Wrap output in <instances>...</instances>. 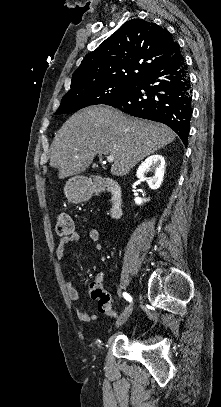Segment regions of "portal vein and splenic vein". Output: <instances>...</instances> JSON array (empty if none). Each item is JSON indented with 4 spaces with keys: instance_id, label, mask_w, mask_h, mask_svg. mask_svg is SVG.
I'll use <instances>...</instances> for the list:
<instances>
[{
    "instance_id": "1",
    "label": "portal vein and splenic vein",
    "mask_w": 221,
    "mask_h": 407,
    "mask_svg": "<svg viewBox=\"0 0 221 407\" xmlns=\"http://www.w3.org/2000/svg\"><path fill=\"white\" fill-rule=\"evenodd\" d=\"M107 161H108V162H113V161H114V157L111 156V155L107 156Z\"/></svg>"
}]
</instances>
